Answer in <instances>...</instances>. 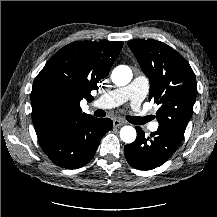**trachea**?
Here are the masks:
<instances>
[{"label": "trachea", "mask_w": 217, "mask_h": 217, "mask_svg": "<svg viewBox=\"0 0 217 217\" xmlns=\"http://www.w3.org/2000/svg\"><path fill=\"white\" fill-rule=\"evenodd\" d=\"M104 115H105V112L101 109H99L95 112V116L103 117Z\"/></svg>", "instance_id": "3493384b"}]
</instances>
